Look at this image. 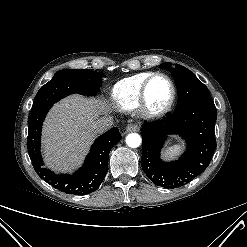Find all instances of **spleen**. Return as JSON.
<instances>
[{
	"instance_id": "3e777b00",
	"label": "spleen",
	"mask_w": 247,
	"mask_h": 247,
	"mask_svg": "<svg viewBox=\"0 0 247 247\" xmlns=\"http://www.w3.org/2000/svg\"><path fill=\"white\" fill-rule=\"evenodd\" d=\"M183 149V144H175L170 146L163 152V157L165 159H173L177 157Z\"/></svg>"
}]
</instances>
